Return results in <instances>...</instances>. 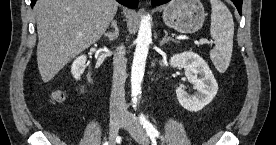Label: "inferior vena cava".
<instances>
[{
	"mask_svg": "<svg viewBox=\"0 0 276 145\" xmlns=\"http://www.w3.org/2000/svg\"><path fill=\"white\" fill-rule=\"evenodd\" d=\"M123 46L117 49V54L113 58V81L110 96V114L123 115L126 113L125 102V80H126V63Z\"/></svg>",
	"mask_w": 276,
	"mask_h": 145,
	"instance_id": "602c4592",
	"label": "inferior vena cava"
}]
</instances>
